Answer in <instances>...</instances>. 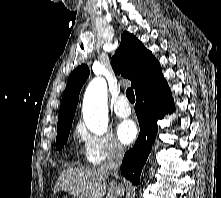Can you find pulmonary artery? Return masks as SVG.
<instances>
[{
	"mask_svg": "<svg viewBox=\"0 0 221 198\" xmlns=\"http://www.w3.org/2000/svg\"><path fill=\"white\" fill-rule=\"evenodd\" d=\"M114 112L118 117H128L131 114V107L125 95H120L114 104Z\"/></svg>",
	"mask_w": 221,
	"mask_h": 198,
	"instance_id": "pulmonary-artery-1",
	"label": "pulmonary artery"
}]
</instances>
